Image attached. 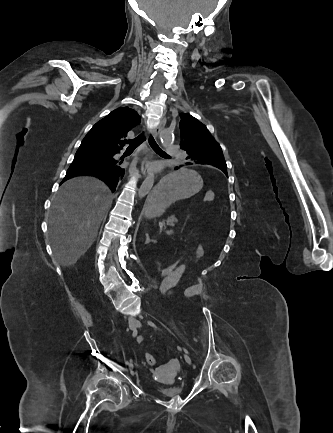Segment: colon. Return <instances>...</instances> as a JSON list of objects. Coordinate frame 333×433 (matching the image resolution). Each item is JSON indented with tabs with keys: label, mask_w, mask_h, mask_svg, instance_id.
<instances>
[{
	"label": "colon",
	"mask_w": 333,
	"mask_h": 433,
	"mask_svg": "<svg viewBox=\"0 0 333 433\" xmlns=\"http://www.w3.org/2000/svg\"><path fill=\"white\" fill-rule=\"evenodd\" d=\"M214 199H215V194L212 191H209L205 194L204 201H213ZM190 252H193V249H190ZM190 252L189 253H185V252L182 253L181 256L177 257V260L172 261V264L168 263L165 266L166 270H163L162 275H160V277H159L160 280H162V284H165V281H163V280H165L166 277H172L173 276V271L176 270V267L183 266V264L185 262H187V260H188L187 258H189V259L192 258L193 255ZM81 317H82V320L85 324H91L92 323V319H91L90 315L82 307H81ZM145 361L150 366H153L156 364L155 357L149 353L146 354Z\"/></svg>",
	"instance_id": "obj_1"
}]
</instances>
